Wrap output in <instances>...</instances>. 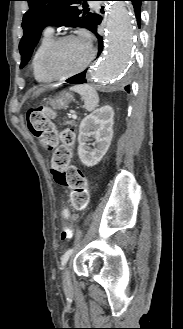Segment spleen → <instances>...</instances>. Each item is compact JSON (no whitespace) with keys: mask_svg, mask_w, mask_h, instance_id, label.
I'll return each instance as SVG.
<instances>
[{"mask_svg":"<svg viewBox=\"0 0 183 329\" xmlns=\"http://www.w3.org/2000/svg\"><path fill=\"white\" fill-rule=\"evenodd\" d=\"M71 91L78 93L84 100V106L87 111L94 110L99 103L97 91L90 85H76L70 88Z\"/></svg>","mask_w":183,"mask_h":329,"instance_id":"3e777b00","label":"spleen"}]
</instances>
